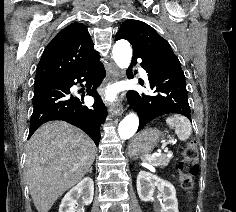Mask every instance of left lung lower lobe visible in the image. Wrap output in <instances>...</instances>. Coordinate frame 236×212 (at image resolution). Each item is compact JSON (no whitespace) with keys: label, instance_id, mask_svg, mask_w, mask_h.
Listing matches in <instances>:
<instances>
[{"label":"left lung lower lobe","instance_id":"obj_1","mask_svg":"<svg viewBox=\"0 0 236 212\" xmlns=\"http://www.w3.org/2000/svg\"><path fill=\"white\" fill-rule=\"evenodd\" d=\"M142 59L141 67L148 73L153 94L128 92L131 107L139 116L140 131L151 120L169 113H177L191 120L185 75L178 58H143L133 55L131 67Z\"/></svg>","mask_w":236,"mask_h":212}]
</instances>
